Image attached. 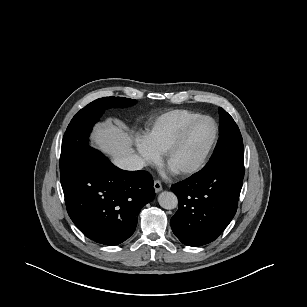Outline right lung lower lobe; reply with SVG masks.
Masks as SVG:
<instances>
[{
	"instance_id": "1",
	"label": "right lung lower lobe",
	"mask_w": 307,
	"mask_h": 307,
	"mask_svg": "<svg viewBox=\"0 0 307 307\" xmlns=\"http://www.w3.org/2000/svg\"><path fill=\"white\" fill-rule=\"evenodd\" d=\"M67 212L89 239L118 245L135 231L138 214L155 197L146 171H123L100 151L85 150L61 175Z\"/></svg>"
}]
</instances>
